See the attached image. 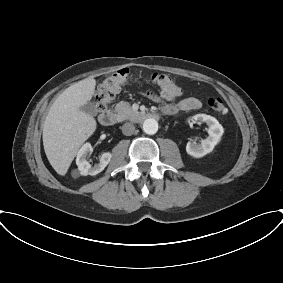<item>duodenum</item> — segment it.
Listing matches in <instances>:
<instances>
[{"label":"duodenum","instance_id":"1","mask_svg":"<svg viewBox=\"0 0 283 283\" xmlns=\"http://www.w3.org/2000/svg\"><path fill=\"white\" fill-rule=\"evenodd\" d=\"M157 114L151 112H138L135 120L137 122H144L146 120L154 119ZM98 120L103 126H110L116 121V115L111 110L103 111L99 114Z\"/></svg>","mask_w":283,"mask_h":283}]
</instances>
